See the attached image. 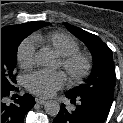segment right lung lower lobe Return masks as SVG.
I'll return each mask as SVG.
<instances>
[{"label": "right lung lower lobe", "instance_id": "98d812e1", "mask_svg": "<svg viewBox=\"0 0 123 123\" xmlns=\"http://www.w3.org/2000/svg\"><path fill=\"white\" fill-rule=\"evenodd\" d=\"M17 88L1 87V123H23L25 114L32 109L35 99L30 94L20 96L15 104L6 105V98Z\"/></svg>", "mask_w": 123, "mask_h": 123}]
</instances>
